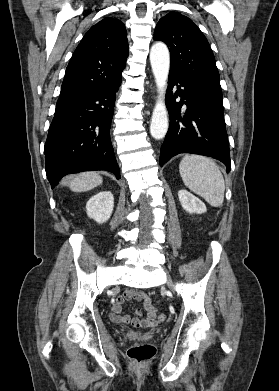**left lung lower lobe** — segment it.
Instances as JSON below:
<instances>
[{
	"instance_id": "obj_1",
	"label": "left lung lower lobe",
	"mask_w": 279,
	"mask_h": 391,
	"mask_svg": "<svg viewBox=\"0 0 279 391\" xmlns=\"http://www.w3.org/2000/svg\"><path fill=\"white\" fill-rule=\"evenodd\" d=\"M175 85L177 90L173 94ZM177 97H181L180 102L175 101ZM184 104L186 109L182 110ZM166 106L170 123L161 147L160 165L179 153H193L213 157L229 171L231 161L222 100L169 75Z\"/></svg>"
}]
</instances>
